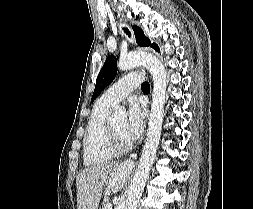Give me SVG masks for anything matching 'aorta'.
Here are the masks:
<instances>
[{
  "label": "aorta",
  "instance_id": "aorta-1",
  "mask_svg": "<svg viewBox=\"0 0 253 209\" xmlns=\"http://www.w3.org/2000/svg\"><path fill=\"white\" fill-rule=\"evenodd\" d=\"M140 65L145 66L153 77L151 115L148 124L149 127L146 142L138 168L128 189L123 209H137L159 146L164 116L167 79L166 70L161 61L156 56L145 52H132L120 58L118 69L125 71ZM124 115L125 110L122 107H119L114 114L115 117H121Z\"/></svg>",
  "mask_w": 253,
  "mask_h": 209
}]
</instances>
